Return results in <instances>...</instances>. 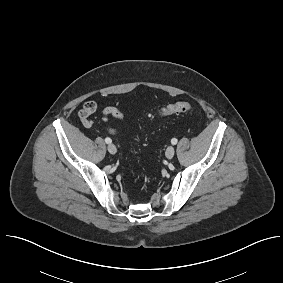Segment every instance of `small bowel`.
<instances>
[{"mask_svg": "<svg viewBox=\"0 0 283 283\" xmlns=\"http://www.w3.org/2000/svg\"><path fill=\"white\" fill-rule=\"evenodd\" d=\"M96 110L97 104L94 101L87 100L83 103L81 110L78 112V117L84 126L90 127L95 121L106 122L110 118L121 120L124 117L123 112L115 106H108L104 108L99 118L93 117Z\"/></svg>", "mask_w": 283, "mask_h": 283, "instance_id": "c3829d8e", "label": "small bowel"}]
</instances>
